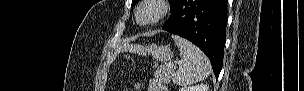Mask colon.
<instances>
[{"mask_svg": "<svg viewBox=\"0 0 304 91\" xmlns=\"http://www.w3.org/2000/svg\"><path fill=\"white\" fill-rule=\"evenodd\" d=\"M133 90H139V86H135V88H133Z\"/></svg>", "mask_w": 304, "mask_h": 91, "instance_id": "5ec220e1", "label": "colon"}]
</instances>
